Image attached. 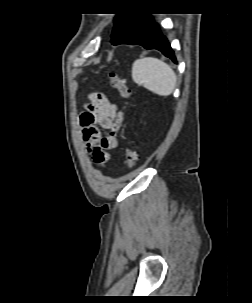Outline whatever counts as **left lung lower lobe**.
I'll return each instance as SVG.
<instances>
[{
    "label": "left lung lower lobe",
    "mask_w": 252,
    "mask_h": 303,
    "mask_svg": "<svg viewBox=\"0 0 252 303\" xmlns=\"http://www.w3.org/2000/svg\"><path fill=\"white\" fill-rule=\"evenodd\" d=\"M118 44L141 45L145 49H156L177 63L169 42L162 36L158 26L150 15H146L135 28Z\"/></svg>",
    "instance_id": "obj_1"
}]
</instances>
